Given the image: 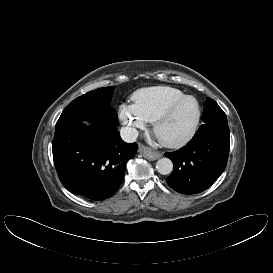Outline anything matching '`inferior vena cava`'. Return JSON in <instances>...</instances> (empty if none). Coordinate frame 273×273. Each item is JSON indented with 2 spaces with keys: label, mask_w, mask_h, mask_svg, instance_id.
Masks as SVG:
<instances>
[{
  "label": "inferior vena cava",
  "mask_w": 273,
  "mask_h": 273,
  "mask_svg": "<svg viewBox=\"0 0 273 273\" xmlns=\"http://www.w3.org/2000/svg\"><path fill=\"white\" fill-rule=\"evenodd\" d=\"M120 135L125 142L132 143L136 141L139 132L137 129L132 127H122L120 130Z\"/></svg>",
  "instance_id": "1"
}]
</instances>
